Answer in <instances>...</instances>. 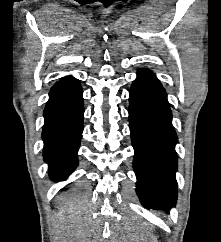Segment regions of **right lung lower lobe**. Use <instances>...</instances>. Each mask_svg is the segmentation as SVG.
Listing matches in <instances>:
<instances>
[{
	"mask_svg": "<svg viewBox=\"0 0 221 242\" xmlns=\"http://www.w3.org/2000/svg\"><path fill=\"white\" fill-rule=\"evenodd\" d=\"M83 90L71 76L52 87L44 110L43 156L52 180L66 179L76 168L77 151L83 131Z\"/></svg>",
	"mask_w": 221,
	"mask_h": 242,
	"instance_id": "obj_1",
	"label": "right lung lower lobe"
}]
</instances>
